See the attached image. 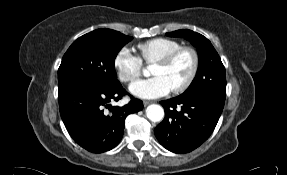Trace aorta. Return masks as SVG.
I'll list each match as a JSON object with an SVG mask.
<instances>
[{
    "label": "aorta",
    "mask_w": 287,
    "mask_h": 175,
    "mask_svg": "<svg viewBox=\"0 0 287 175\" xmlns=\"http://www.w3.org/2000/svg\"><path fill=\"white\" fill-rule=\"evenodd\" d=\"M146 116L152 122H158L164 117V110L160 105L152 104L146 108Z\"/></svg>",
    "instance_id": "aorta-1"
}]
</instances>
